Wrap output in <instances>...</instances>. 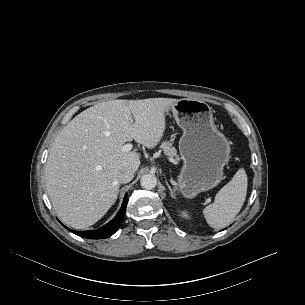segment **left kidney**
<instances>
[{
	"label": "left kidney",
	"instance_id": "obj_1",
	"mask_svg": "<svg viewBox=\"0 0 305 305\" xmlns=\"http://www.w3.org/2000/svg\"><path fill=\"white\" fill-rule=\"evenodd\" d=\"M182 214H183V216H184V217H189L188 212H187V211H185V210L182 212Z\"/></svg>",
	"mask_w": 305,
	"mask_h": 305
}]
</instances>
